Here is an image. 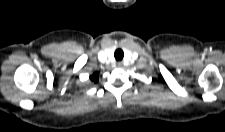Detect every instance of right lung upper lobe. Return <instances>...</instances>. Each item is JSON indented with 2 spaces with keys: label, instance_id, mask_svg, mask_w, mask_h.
I'll return each mask as SVG.
<instances>
[{
  "label": "right lung upper lobe",
  "instance_id": "1",
  "mask_svg": "<svg viewBox=\"0 0 225 132\" xmlns=\"http://www.w3.org/2000/svg\"><path fill=\"white\" fill-rule=\"evenodd\" d=\"M90 80L93 82H98V72H95L91 77Z\"/></svg>",
  "mask_w": 225,
  "mask_h": 132
}]
</instances>
